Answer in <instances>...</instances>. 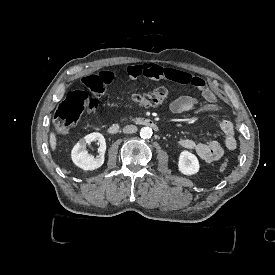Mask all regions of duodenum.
I'll list each match as a JSON object with an SVG mask.
<instances>
[{
	"mask_svg": "<svg viewBox=\"0 0 275 275\" xmlns=\"http://www.w3.org/2000/svg\"><path fill=\"white\" fill-rule=\"evenodd\" d=\"M133 123L138 126H146L153 129L154 131H158L157 124L150 118H137L136 120H134ZM120 128H121V123H114L108 127L107 131L109 134L115 135L116 133L119 132Z\"/></svg>",
	"mask_w": 275,
	"mask_h": 275,
	"instance_id": "duodenum-1",
	"label": "duodenum"
}]
</instances>
